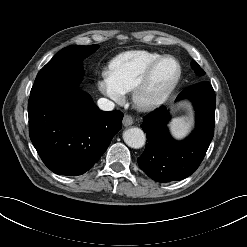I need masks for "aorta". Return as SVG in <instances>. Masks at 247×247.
Instances as JSON below:
<instances>
[{"instance_id":"1","label":"aorta","mask_w":247,"mask_h":247,"mask_svg":"<svg viewBox=\"0 0 247 247\" xmlns=\"http://www.w3.org/2000/svg\"><path fill=\"white\" fill-rule=\"evenodd\" d=\"M123 140L129 147L139 149L145 144L146 137L140 128L133 127L123 132Z\"/></svg>"}]
</instances>
